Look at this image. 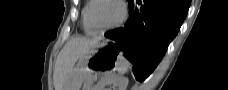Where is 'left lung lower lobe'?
Listing matches in <instances>:
<instances>
[{
  "label": "left lung lower lobe",
  "mask_w": 228,
  "mask_h": 90,
  "mask_svg": "<svg viewBox=\"0 0 228 90\" xmlns=\"http://www.w3.org/2000/svg\"><path fill=\"white\" fill-rule=\"evenodd\" d=\"M129 19L106 37L134 64L133 73L143 81L162 59L186 17L188 0H128Z\"/></svg>",
  "instance_id": "left-lung-lower-lobe-1"
}]
</instances>
